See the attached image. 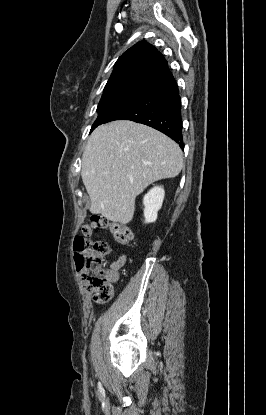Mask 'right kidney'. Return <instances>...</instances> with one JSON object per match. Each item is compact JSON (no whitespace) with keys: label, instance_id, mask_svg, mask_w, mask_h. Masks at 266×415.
Returning a JSON list of instances; mask_svg holds the SVG:
<instances>
[{"label":"right kidney","instance_id":"obj_1","mask_svg":"<svg viewBox=\"0 0 266 415\" xmlns=\"http://www.w3.org/2000/svg\"><path fill=\"white\" fill-rule=\"evenodd\" d=\"M164 189L160 186L152 188L143 198L145 223L155 222L164 200Z\"/></svg>","mask_w":266,"mask_h":415}]
</instances>
